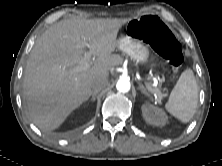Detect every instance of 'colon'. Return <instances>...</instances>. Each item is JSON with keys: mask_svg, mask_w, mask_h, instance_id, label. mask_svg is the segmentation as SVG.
Here are the masks:
<instances>
[{"mask_svg": "<svg viewBox=\"0 0 222 166\" xmlns=\"http://www.w3.org/2000/svg\"><path fill=\"white\" fill-rule=\"evenodd\" d=\"M126 33L148 43L158 54L168 60L174 70L182 66L184 57L181 45L160 18L150 14L143 15L128 24Z\"/></svg>", "mask_w": 222, "mask_h": 166, "instance_id": "1", "label": "colon"}]
</instances>
